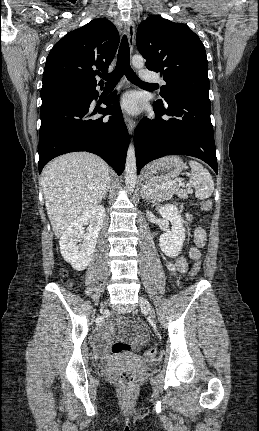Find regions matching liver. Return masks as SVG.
I'll return each instance as SVG.
<instances>
[{
	"label": "liver",
	"mask_w": 259,
	"mask_h": 431,
	"mask_svg": "<svg viewBox=\"0 0 259 431\" xmlns=\"http://www.w3.org/2000/svg\"><path fill=\"white\" fill-rule=\"evenodd\" d=\"M109 174L107 163L87 152L61 155L45 166L40 180L56 237L62 236L77 217L101 202Z\"/></svg>",
	"instance_id": "6515ba94"
}]
</instances>
